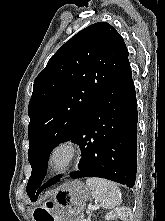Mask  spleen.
I'll use <instances>...</instances> for the list:
<instances>
[{"label": "spleen", "mask_w": 165, "mask_h": 221, "mask_svg": "<svg viewBox=\"0 0 165 221\" xmlns=\"http://www.w3.org/2000/svg\"><path fill=\"white\" fill-rule=\"evenodd\" d=\"M86 184L91 189L92 197L103 209H113L121 203L122 194L114 182L101 178H89Z\"/></svg>", "instance_id": "1"}]
</instances>
